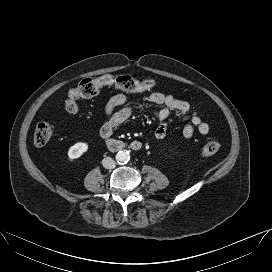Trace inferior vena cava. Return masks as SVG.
Segmentation results:
<instances>
[{
    "label": "inferior vena cava",
    "instance_id": "obj_1",
    "mask_svg": "<svg viewBox=\"0 0 272 272\" xmlns=\"http://www.w3.org/2000/svg\"><path fill=\"white\" fill-rule=\"evenodd\" d=\"M102 165L106 169H113V168H115L116 163H115V161L112 158L106 157V158H104L102 160Z\"/></svg>",
    "mask_w": 272,
    "mask_h": 272
}]
</instances>
